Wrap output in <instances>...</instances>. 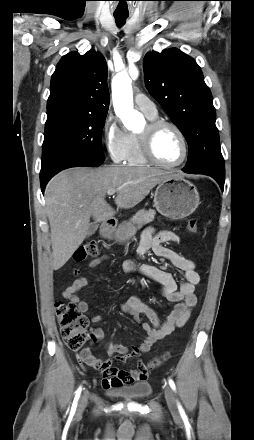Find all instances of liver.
Returning <instances> with one entry per match:
<instances>
[{
    "label": "liver",
    "instance_id": "liver-1",
    "mask_svg": "<svg viewBox=\"0 0 254 440\" xmlns=\"http://www.w3.org/2000/svg\"><path fill=\"white\" fill-rule=\"evenodd\" d=\"M171 173L146 167L111 165L61 171L47 184L45 209L50 224L53 269H60L84 241L90 218L103 222L114 216L105 201L115 189V203L124 209L139 204Z\"/></svg>",
    "mask_w": 254,
    "mask_h": 440
}]
</instances>
